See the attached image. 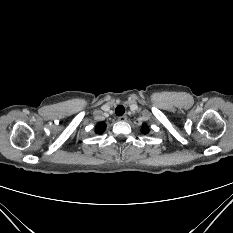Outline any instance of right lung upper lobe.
I'll return each mask as SVG.
<instances>
[{"mask_svg":"<svg viewBox=\"0 0 233 233\" xmlns=\"http://www.w3.org/2000/svg\"><path fill=\"white\" fill-rule=\"evenodd\" d=\"M105 128H106V124L105 123H98L96 125L95 132L97 134H102L104 132Z\"/></svg>","mask_w":233,"mask_h":233,"instance_id":"right-lung-upper-lobe-1","label":"right lung upper lobe"}]
</instances>
